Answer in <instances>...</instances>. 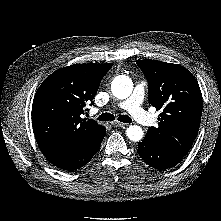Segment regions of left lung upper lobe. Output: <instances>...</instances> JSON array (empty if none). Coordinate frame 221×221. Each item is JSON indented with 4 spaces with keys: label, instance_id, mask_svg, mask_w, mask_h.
I'll use <instances>...</instances> for the list:
<instances>
[{
    "label": "left lung upper lobe",
    "instance_id": "5c2ea615",
    "mask_svg": "<svg viewBox=\"0 0 221 221\" xmlns=\"http://www.w3.org/2000/svg\"><path fill=\"white\" fill-rule=\"evenodd\" d=\"M149 84V101L162 110L158 127H150L144 140L186 155L199 130L202 115L200 87L181 65L145 59L137 61Z\"/></svg>",
    "mask_w": 221,
    "mask_h": 221
}]
</instances>
